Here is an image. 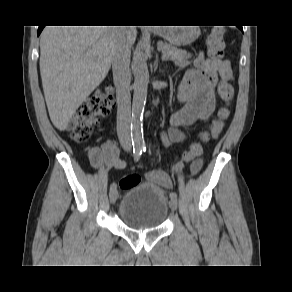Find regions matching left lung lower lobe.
Returning <instances> with one entry per match:
<instances>
[{
    "mask_svg": "<svg viewBox=\"0 0 292 292\" xmlns=\"http://www.w3.org/2000/svg\"><path fill=\"white\" fill-rule=\"evenodd\" d=\"M238 28L243 31L242 26H238Z\"/></svg>",
    "mask_w": 292,
    "mask_h": 292,
    "instance_id": "1",
    "label": "left lung lower lobe"
}]
</instances>
